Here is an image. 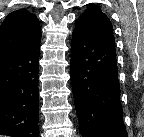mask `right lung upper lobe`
Returning a JSON list of instances; mask_svg holds the SVG:
<instances>
[{
	"label": "right lung upper lobe",
	"instance_id": "cb5924a9",
	"mask_svg": "<svg viewBox=\"0 0 144 137\" xmlns=\"http://www.w3.org/2000/svg\"><path fill=\"white\" fill-rule=\"evenodd\" d=\"M41 34L37 17L27 10L6 16L0 27V56L30 43Z\"/></svg>",
	"mask_w": 144,
	"mask_h": 137
}]
</instances>
